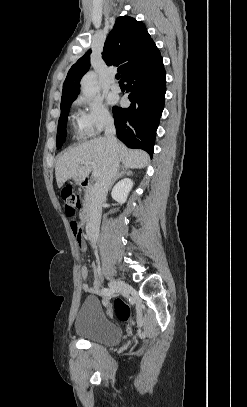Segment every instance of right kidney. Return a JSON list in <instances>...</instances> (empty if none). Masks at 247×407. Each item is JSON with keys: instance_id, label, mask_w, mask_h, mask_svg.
<instances>
[{"instance_id": "1", "label": "right kidney", "mask_w": 247, "mask_h": 407, "mask_svg": "<svg viewBox=\"0 0 247 407\" xmlns=\"http://www.w3.org/2000/svg\"><path fill=\"white\" fill-rule=\"evenodd\" d=\"M133 186V181L129 178L123 179L116 184L112 190V198L120 204L127 200V196Z\"/></svg>"}]
</instances>
